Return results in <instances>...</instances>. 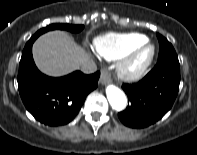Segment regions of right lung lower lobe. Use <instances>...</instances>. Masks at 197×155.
I'll use <instances>...</instances> for the list:
<instances>
[{
    "label": "right lung lower lobe",
    "instance_id": "98d812e1",
    "mask_svg": "<svg viewBox=\"0 0 197 155\" xmlns=\"http://www.w3.org/2000/svg\"><path fill=\"white\" fill-rule=\"evenodd\" d=\"M32 44L25 46L19 64L22 101L38 121L49 126L65 125L77 115L86 96L97 88L100 73L85 75L75 71L64 77H48L33 61Z\"/></svg>",
    "mask_w": 197,
    "mask_h": 155
}]
</instances>
